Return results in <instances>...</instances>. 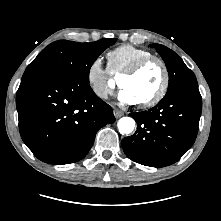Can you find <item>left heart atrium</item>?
I'll return each instance as SVG.
<instances>
[{"mask_svg": "<svg viewBox=\"0 0 221 221\" xmlns=\"http://www.w3.org/2000/svg\"><path fill=\"white\" fill-rule=\"evenodd\" d=\"M118 98H119V101L124 104H136L137 103V100L133 96V94L129 90L124 89V88L121 89Z\"/></svg>", "mask_w": 221, "mask_h": 221, "instance_id": "1", "label": "left heart atrium"}]
</instances>
